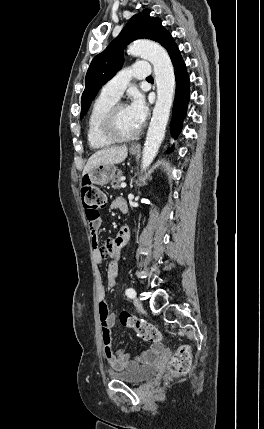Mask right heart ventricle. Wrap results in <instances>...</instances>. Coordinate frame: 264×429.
Here are the masks:
<instances>
[{
	"mask_svg": "<svg viewBox=\"0 0 264 429\" xmlns=\"http://www.w3.org/2000/svg\"><path fill=\"white\" fill-rule=\"evenodd\" d=\"M116 101V99L100 94L92 105L87 120V140L89 146L94 150L107 148L114 143L103 135L101 125L105 114Z\"/></svg>",
	"mask_w": 264,
	"mask_h": 429,
	"instance_id": "e07e8e85",
	"label": "right heart ventricle"
}]
</instances>
